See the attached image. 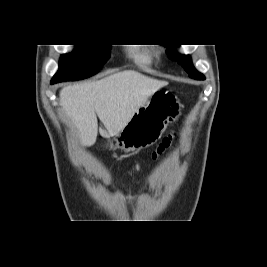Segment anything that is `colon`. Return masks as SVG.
<instances>
[{
	"instance_id": "1",
	"label": "colon",
	"mask_w": 267,
	"mask_h": 267,
	"mask_svg": "<svg viewBox=\"0 0 267 267\" xmlns=\"http://www.w3.org/2000/svg\"><path fill=\"white\" fill-rule=\"evenodd\" d=\"M175 135L174 134H169L166 137L162 139V141L158 144L156 149L152 152V159H157L161 155H163L173 144ZM131 177L133 176L132 174L130 175Z\"/></svg>"
}]
</instances>
